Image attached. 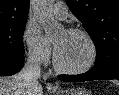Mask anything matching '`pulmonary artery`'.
I'll list each match as a JSON object with an SVG mask.
<instances>
[{
    "label": "pulmonary artery",
    "mask_w": 119,
    "mask_h": 95,
    "mask_svg": "<svg viewBox=\"0 0 119 95\" xmlns=\"http://www.w3.org/2000/svg\"><path fill=\"white\" fill-rule=\"evenodd\" d=\"M53 14L58 19H65L68 14V9L66 4L63 2H57L53 6Z\"/></svg>",
    "instance_id": "1"
}]
</instances>
